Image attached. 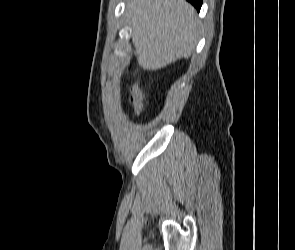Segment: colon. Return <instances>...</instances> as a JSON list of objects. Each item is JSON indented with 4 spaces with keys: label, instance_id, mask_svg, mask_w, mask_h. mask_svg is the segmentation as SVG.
<instances>
[{
    "label": "colon",
    "instance_id": "5ec220e1",
    "mask_svg": "<svg viewBox=\"0 0 295 250\" xmlns=\"http://www.w3.org/2000/svg\"><path fill=\"white\" fill-rule=\"evenodd\" d=\"M145 96L137 83H134L130 86V97L129 102L133 107L135 113H140L144 107Z\"/></svg>",
    "mask_w": 295,
    "mask_h": 250
}]
</instances>
